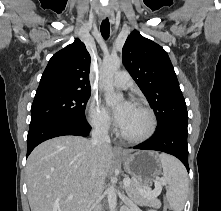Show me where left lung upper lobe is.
<instances>
[{
  "label": "left lung upper lobe",
  "mask_w": 221,
  "mask_h": 211,
  "mask_svg": "<svg viewBox=\"0 0 221 211\" xmlns=\"http://www.w3.org/2000/svg\"><path fill=\"white\" fill-rule=\"evenodd\" d=\"M123 63L157 117V129L188 120L186 103L167 52L155 42L133 31L122 52Z\"/></svg>",
  "instance_id": "left-lung-upper-lobe-1"
}]
</instances>
